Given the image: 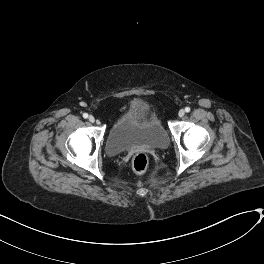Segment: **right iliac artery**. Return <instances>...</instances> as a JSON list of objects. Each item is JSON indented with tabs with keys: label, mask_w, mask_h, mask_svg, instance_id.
Instances as JSON below:
<instances>
[{
	"label": "right iliac artery",
	"mask_w": 264,
	"mask_h": 264,
	"mask_svg": "<svg viewBox=\"0 0 264 264\" xmlns=\"http://www.w3.org/2000/svg\"><path fill=\"white\" fill-rule=\"evenodd\" d=\"M83 118H85V119L88 118V114L87 113H84L83 114Z\"/></svg>",
	"instance_id": "obj_1"
}]
</instances>
